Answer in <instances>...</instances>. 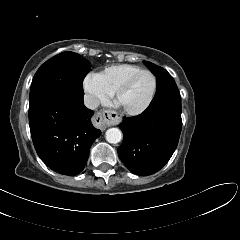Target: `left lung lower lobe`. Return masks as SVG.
<instances>
[{
    "instance_id": "0a47b994",
    "label": "left lung lower lobe",
    "mask_w": 240,
    "mask_h": 240,
    "mask_svg": "<svg viewBox=\"0 0 240 240\" xmlns=\"http://www.w3.org/2000/svg\"><path fill=\"white\" fill-rule=\"evenodd\" d=\"M124 139L118 148L123 164L134 174L160 170L173 155L181 133V100L154 102L140 115L124 117Z\"/></svg>"
}]
</instances>
